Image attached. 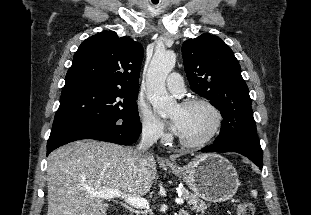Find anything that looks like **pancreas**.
Wrapping results in <instances>:
<instances>
[{"label":"pancreas","mask_w":311,"mask_h":215,"mask_svg":"<svg viewBox=\"0 0 311 215\" xmlns=\"http://www.w3.org/2000/svg\"><path fill=\"white\" fill-rule=\"evenodd\" d=\"M180 191L182 193V197L188 201L190 209L200 212L201 215H203L208 205L200 200L196 194L189 192L186 188L180 187Z\"/></svg>","instance_id":"obj_1"}]
</instances>
